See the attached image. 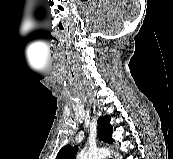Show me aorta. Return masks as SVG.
I'll return each instance as SVG.
<instances>
[{
    "label": "aorta",
    "instance_id": "1",
    "mask_svg": "<svg viewBox=\"0 0 173 159\" xmlns=\"http://www.w3.org/2000/svg\"><path fill=\"white\" fill-rule=\"evenodd\" d=\"M110 152L107 149H90L85 153H80L77 159H105ZM117 159H122L121 156L116 155Z\"/></svg>",
    "mask_w": 173,
    "mask_h": 159
}]
</instances>
